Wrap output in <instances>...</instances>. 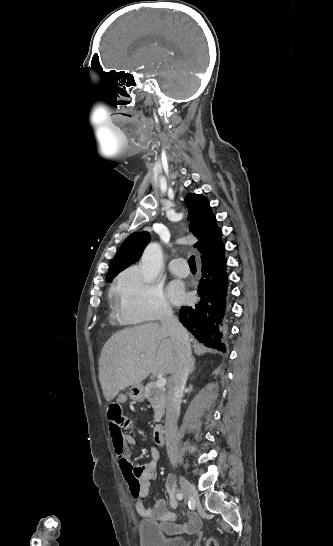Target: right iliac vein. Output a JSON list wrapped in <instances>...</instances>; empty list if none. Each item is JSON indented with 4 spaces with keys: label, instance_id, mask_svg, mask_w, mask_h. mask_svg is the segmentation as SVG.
Returning a JSON list of instances; mask_svg holds the SVG:
<instances>
[{
    "label": "right iliac vein",
    "instance_id": "obj_1",
    "mask_svg": "<svg viewBox=\"0 0 333 546\" xmlns=\"http://www.w3.org/2000/svg\"><path fill=\"white\" fill-rule=\"evenodd\" d=\"M179 484L181 486L182 492L185 495V498L188 500L194 494V486L184 477L179 478Z\"/></svg>",
    "mask_w": 333,
    "mask_h": 546
}]
</instances>
